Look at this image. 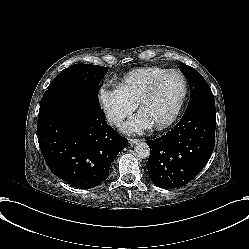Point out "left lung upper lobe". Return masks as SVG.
I'll return each mask as SVG.
<instances>
[{
	"label": "left lung upper lobe",
	"mask_w": 249,
	"mask_h": 249,
	"mask_svg": "<svg viewBox=\"0 0 249 249\" xmlns=\"http://www.w3.org/2000/svg\"><path fill=\"white\" fill-rule=\"evenodd\" d=\"M179 68L190 85V101L185 113L203 105H215L212 91L202 75L184 63H180Z\"/></svg>",
	"instance_id": "left-lung-upper-lobe-1"
}]
</instances>
